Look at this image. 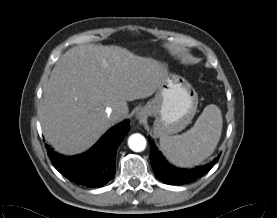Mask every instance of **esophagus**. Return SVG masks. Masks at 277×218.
I'll return each instance as SVG.
<instances>
[{
	"instance_id": "obj_1",
	"label": "esophagus",
	"mask_w": 277,
	"mask_h": 218,
	"mask_svg": "<svg viewBox=\"0 0 277 218\" xmlns=\"http://www.w3.org/2000/svg\"><path fill=\"white\" fill-rule=\"evenodd\" d=\"M145 117H146V113L143 110H140L136 114V119H138V120H143Z\"/></svg>"
}]
</instances>
